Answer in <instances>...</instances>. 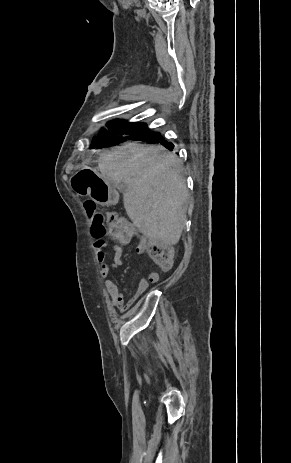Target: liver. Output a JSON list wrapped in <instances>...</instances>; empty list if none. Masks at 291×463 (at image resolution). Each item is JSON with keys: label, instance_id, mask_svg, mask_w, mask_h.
Here are the masks:
<instances>
[{"label": "liver", "instance_id": "liver-1", "mask_svg": "<svg viewBox=\"0 0 291 463\" xmlns=\"http://www.w3.org/2000/svg\"><path fill=\"white\" fill-rule=\"evenodd\" d=\"M101 176L123 194L128 217L146 237L167 245L178 243L186 224L188 190L180 176V160L160 146L128 142L104 153Z\"/></svg>", "mask_w": 291, "mask_h": 463}]
</instances>
